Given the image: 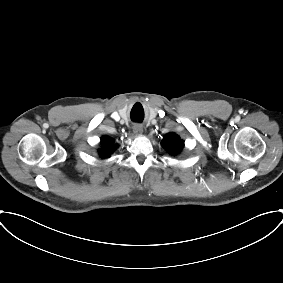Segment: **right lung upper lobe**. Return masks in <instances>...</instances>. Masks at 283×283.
Returning a JSON list of instances; mask_svg holds the SVG:
<instances>
[{
    "instance_id": "right-lung-upper-lobe-1",
    "label": "right lung upper lobe",
    "mask_w": 283,
    "mask_h": 283,
    "mask_svg": "<svg viewBox=\"0 0 283 283\" xmlns=\"http://www.w3.org/2000/svg\"><path fill=\"white\" fill-rule=\"evenodd\" d=\"M101 144H102V148L99 150L100 155L104 158V157H109L111 152H113L114 149H116V145H114V141L113 139L104 136L101 139Z\"/></svg>"
}]
</instances>
